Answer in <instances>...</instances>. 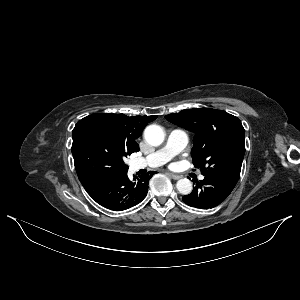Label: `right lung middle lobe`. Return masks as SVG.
I'll return each mask as SVG.
<instances>
[{
	"mask_svg": "<svg viewBox=\"0 0 300 300\" xmlns=\"http://www.w3.org/2000/svg\"><path fill=\"white\" fill-rule=\"evenodd\" d=\"M72 154L79 180L102 173L125 174L124 159L132 154L95 115L81 119L72 131Z\"/></svg>",
	"mask_w": 300,
	"mask_h": 300,
	"instance_id": "1",
	"label": "right lung middle lobe"
}]
</instances>
